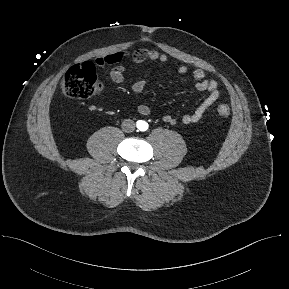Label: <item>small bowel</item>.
Listing matches in <instances>:
<instances>
[{
  "label": "small bowel",
  "mask_w": 289,
  "mask_h": 289,
  "mask_svg": "<svg viewBox=\"0 0 289 289\" xmlns=\"http://www.w3.org/2000/svg\"><path fill=\"white\" fill-rule=\"evenodd\" d=\"M123 60H131L132 63L136 65L145 61L165 63L167 61V56L155 49L141 48L132 52L120 51L107 54L103 57L97 58L95 65L98 67L115 65L110 71V78L113 82L121 84L125 81V74L127 69L126 67L117 64ZM177 72L180 74H186L188 72V68L184 65H180L177 67ZM192 76L195 80L196 88L199 91L205 93V95L193 111L185 114L182 117L181 121L185 125L199 122L207 110L220 96V90L217 81L208 78L204 71L201 69H195L192 72ZM145 86V81L139 80L133 84L132 90L134 93H140L144 90ZM137 111L139 114L146 116L150 114L151 109L148 105L141 104L137 107ZM162 119L164 122L170 125H175L178 122V119L172 114H164Z\"/></svg>",
  "instance_id": "c3829d8e"
}]
</instances>
